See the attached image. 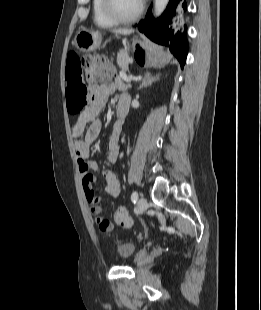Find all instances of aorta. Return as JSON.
I'll return each instance as SVG.
<instances>
[{
	"label": "aorta",
	"instance_id": "762f6f07",
	"mask_svg": "<svg viewBox=\"0 0 261 310\" xmlns=\"http://www.w3.org/2000/svg\"><path fill=\"white\" fill-rule=\"evenodd\" d=\"M169 0H154V15L160 16L165 10Z\"/></svg>",
	"mask_w": 261,
	"mask_h": 310
}]
</instances>
